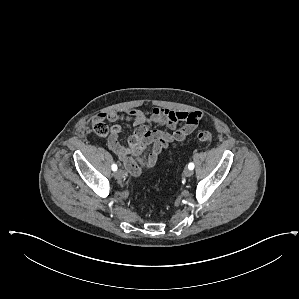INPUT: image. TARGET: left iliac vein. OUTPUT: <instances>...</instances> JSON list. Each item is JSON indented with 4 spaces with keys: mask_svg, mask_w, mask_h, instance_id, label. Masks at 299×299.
<instances>
[{
    "mask_svg": "<svg viewBox=\"0 0 299 299\" xmlns=\"http://www.w3.org/2000/svg\"><path fill=\"white\" fill-rule=\"evenodd\" d=\"M193 175V171L190 169H185L184 170V176L186 177H191Z\"/></svg>",
    "mask_w": 299,
    "mask_h": 299,
    "instance_id": "4c4485c4",
    "label": "left iliac vein"
}]
</instances>
